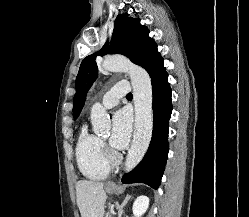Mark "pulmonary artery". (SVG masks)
<instances>
[{
	"mask_svg": "<svg viewBox=\"0 0 249 217\" xmlns=\"http://www.w3.org/2000/svg\"><path fill=\"white\" fill-rule=\"evenodd\" d=\"M129 91V84L127 81H120L107 91L102 97V104L105 108H112L116 106L119 99L127 95Z\"/></svg>",
	"mask_w": 249,
	"mask_h": 217,
	"instance_id": "obj_1",
	"label": "pulmonary artery"
}]
</instances>
